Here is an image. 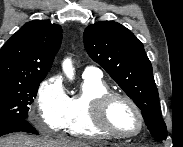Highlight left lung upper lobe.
Wrapping results in <instances>:
<instances>
[{"mask_svg":"<svg viewBox=\"0 0 183 147\" xmlns=\"http://www.w3.org/2000/svg\"><path fill=\"white\" fill-rule=\"evenodd\" d=\"M88 55L100 64L112 79L141 109L152 136L167 138L152 65L143 44L123 25L101 21L89 25L83 34Z\"/></svg>","mask_w":183,"mask_h":147,"instance_id":"left-lung-upper-lobe-1","label":"left lung upper lobe"}]
</instances>
